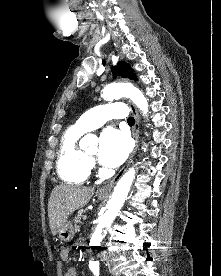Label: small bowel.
Listing matches in <instances>:
<instances>
[{"label": "small bowel", "instance_id": "c3829d8e", "mask_svg": "<svg viewBox=\"0 0 221 276\" xmlns=\"http://www.w3.org/2000/svg\"><path fill=\"white\" fill-rule=\"evenodd\" d=\"M70 251L68 249H65L63 253H61L62 260H67L69 257ZM64 276H77V270L75 267H69L67 268Z\"/></svg>", "mask_w": 221, "mask_h": 276}]
</instances>
